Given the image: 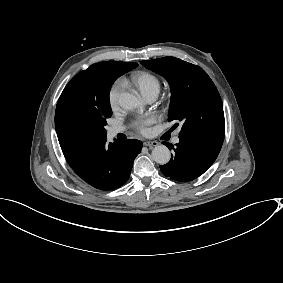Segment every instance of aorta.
I'll list each match as a JSON object with an SVG mask.
<instances>
[{
    "mask_svg": "<svg viewBox=\"0 0 283 283\" xmlns=\"http://www.w3.org/2000/svg\"><path fill=\"white\" fill-rule=\"evenodd\" d=\"M119 105L126 110H134L141 106L139 99L131 94L124 92L119 97ZM152 158L158 164H167L170 161L171 153L165 145H158L152 150Z\"/></svg>",
    "mask_w": 283,
    "mask_h": 283,
    "instance_id": "aorta-1",
    "label": "aorta"
}]
</instances>
